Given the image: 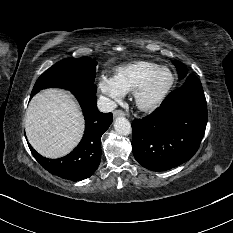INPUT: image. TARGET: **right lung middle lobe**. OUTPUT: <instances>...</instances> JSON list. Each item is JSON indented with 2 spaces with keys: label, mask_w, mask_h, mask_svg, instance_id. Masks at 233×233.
<instances>
[{
  "label": "right lung middle lobe",
  "mask_w": 233,
  "mask_h": 233,
  "mask_svg": "<svg viewBox=\"0 0 233 233\" xmlns=\"http://www.w3.org/2000/svg\"><path fill=\"white\" fill-rule=\"evenodd\" d=\"M97 62L93 59L67 58L50 67L36 81L31 93L34 96L41 89L59 87L67 90L89 89L96 91L94 84Z\"/></svg>",
  "instance_id": "obj_1"
}]
</instances>
